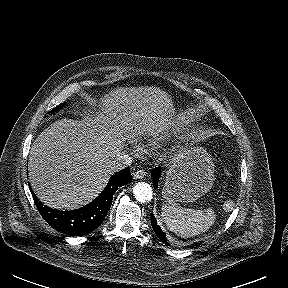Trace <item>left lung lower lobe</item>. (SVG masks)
I'll list each match as a JSON object with an SVG mask.
<instances>
[{"label": "left lung lower lobe", "instance_id": "obj_1", "mask_svg": "<svg viewBox=\"0 0 288 288\" xmlns=\"http://www.w3.org/2000/svg\"><path fill=\"white\" fill-rule=\"evenodd\" d=\"M160 176H161V168L160 167L154 168L151 172V179L154 183L153 185L155 189L158 187V181H159ZM151 225H152L154 232L159 237V239L168 245L166 234L157 225L156 218L154 217L153 214H151Z\"/></svg>", "mask_w": 288, "mask_h": 288}]
</instances>
